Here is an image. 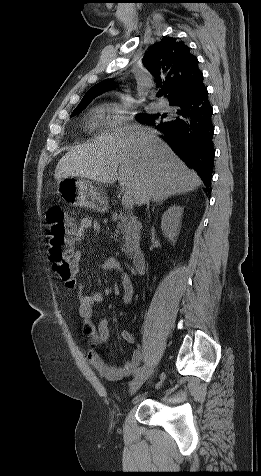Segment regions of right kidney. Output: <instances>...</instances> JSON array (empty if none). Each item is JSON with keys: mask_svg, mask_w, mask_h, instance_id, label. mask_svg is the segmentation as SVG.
Returning <instances> with one entry per match:
<instances>
[{"mask_svg": "<svg viewBox=\"0 0 261 476\" xmlns=\"http://www.w3.org/2000/svg\"><path fill=\"white\" fill-rule=\"evenodd\" d=\"M182 214L183 208L173 205L172 207L168 208V210H166L162 216V232L172 242H174L178 236Z\"/></svg>", "mask_w": 261, "mask_h": 476, "instance_id": "1", "label": "right kidney"}]
</instances>
